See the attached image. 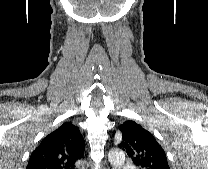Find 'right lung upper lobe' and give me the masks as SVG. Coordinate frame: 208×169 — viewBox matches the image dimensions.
Segmentation results:
<instances>
[{
	"instance_id": "1",
	"label": "right lung upper lobe",
	"mask_w": 208,
	"mask_h": 169,
	"mask_svg": "<svg viewBox=\"0 0 208 169\" xmlns=\"http://www.w3.org/2000/svg\"><path fill=\"white\" fill-rule=\"evenodd\" d=\"M84 150L85 143L79 128L65 122L41 141L26 169H74Z\"/></svg>"
}]
</instances>
